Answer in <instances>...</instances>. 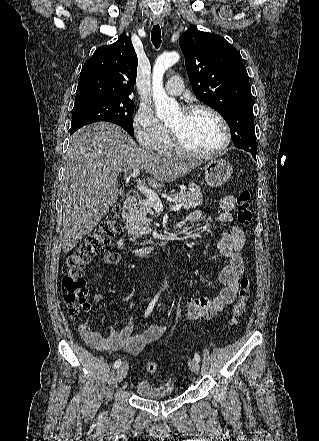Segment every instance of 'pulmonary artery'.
Segmentation results:
<instances>
[{
  "mask_svg": "<svg viewBox=\"0 0 319 441\" xmlns=\"http://www.w3.org/2000/svg\"><path fill=\"white\" fill-rule=\"evenodd\" d=\"M165 90L169 95H173V96L181 95L184 90L182 79L177 75L172 76L167 81Z\"/></svg>",
  "mask_w": 319,
  "mask_h": 441,
  "instance_id": "obj_1",
  "label": "pulmonary artery"
}]
</instances>
